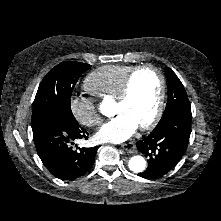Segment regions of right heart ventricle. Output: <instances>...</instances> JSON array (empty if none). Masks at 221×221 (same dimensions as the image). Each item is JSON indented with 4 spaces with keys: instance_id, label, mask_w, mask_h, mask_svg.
Listing matches in <instances>:
<instances>
[{
    "instance_id": "right-heart-ventricle-1",
    "label": "right heart ventricle",
    "mask_w": 221,
    "mask_h": 221,
    "mask_svg": "<svg viewBox=\"0 0 221 221\" xmlns=\"http://www.w3.org/2000/svg\"><path fill=\"white\" fill-rule=\"evenodd\" d=\"M136 66L106 65L91 72L84 81V88L99 98L116 99L124 80Z\"/></svg>"
}]
</instances>
